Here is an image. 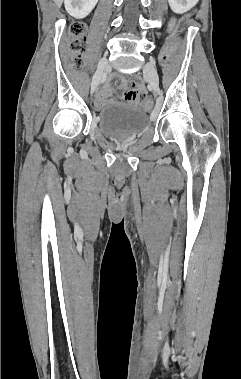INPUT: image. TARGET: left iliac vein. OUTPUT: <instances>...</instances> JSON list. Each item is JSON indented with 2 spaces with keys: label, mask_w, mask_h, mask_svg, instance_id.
Segmentation results:
<instances>
[{
  "label": "left iliac vein",
  "mask_w": 241,
  "mask_h": 379,
  "mask_svg": "<svg viewBox=\"0 0 241 379\" xmlns=\"http://www.w3.org/2000/svg\"><path fill=\"white\" fill-rule=\"evenodd\" d=\"M145 76L148 78L152 88L156 91L159 86V76L153 62H148L143 68Z\"/></svg>",
  "instance_id": "1"
}]
</instances>
